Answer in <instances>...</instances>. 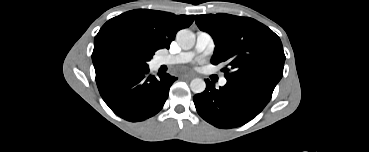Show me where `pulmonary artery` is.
<instances>
[{
	"label": "pulmonary artery",
	"mask_w": 369,
	"mask_h": 152,
	"mask_svg": "<svg viewBox=\"0 0 369 152\" xmlns=\"http://www.w3.org/2000/svg\"><path fill=\"white\" fill-rule=\"evenodd\" d=\"M214 47L215 44L212 36L207 32L199 31L197 32L196 43L192 50L161 56L157 59V64L173 65L188 63L199 53H211ZM226 83V78L222 77L220 79V85L224 86Z\"/></svg>",
	"instance_id": "1"
}]
</instances>
